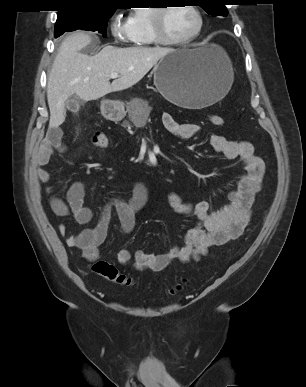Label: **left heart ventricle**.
Returning a JSON list of instances; mask_svg holds the SVG:
<instances>
[{"instance_id":"left-heart-ventricle-1","label":"left heart ventricle","mask_w":306,"mask_h":387,"mask_svg":"<svg viewBox=\"0 0 306 387\" xmlns=\"http://www.w3.org/2000/svg\"><path fill=\"white\" fill-rule=\"evenodd\" d=\"M195 14L187 7H170L164 16V30L172 39L189 36L196 28Z\"/></svg>"}]
</instances>
